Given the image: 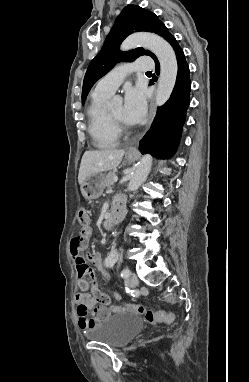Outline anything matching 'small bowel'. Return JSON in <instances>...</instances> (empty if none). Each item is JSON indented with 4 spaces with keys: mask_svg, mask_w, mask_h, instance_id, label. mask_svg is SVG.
Here are the masks:
<instances>
[{
    "mask_svg": "<svg viewBox=\"0 0 249 382\" xmlns=\"http://www.w3.org/2000/svg\"><path fill=\"white\" fill-rule=\"evenodd\" d=\"M93 235V230L87 228L80 231V234L73 238L71 242L68 243L69 251L71 252L72 261H77V259H82L84 257L85 261L101 260V257L96 252H87L83 249ZM79 241H76L78 240ZM79 289L81 290L75 297L77 303V314L79 317V327L82 330L88 331L90 328L96 326L102 320L107 318L110 314L108 307L103 305H97V301L93 295V283L84 279L82 282H77ZM97 302V303H96ZM91 310V316H89Z\"/></svg>",
    "mask_w": 249,
    "mask_h": 382,
    "instance_id": "small-bowel-1",
    "label": "small bowel"
}]
</instances>
